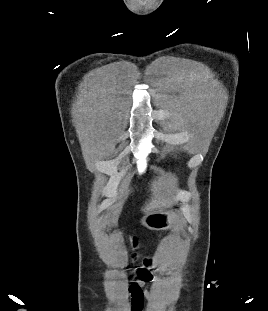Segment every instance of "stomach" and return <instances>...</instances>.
I'll list each match as a JSON object with an SVG mask.
<instances>
[{
    "mask_svg": "<svg viewBox=\"0 0 268 311\" xmlns=\"http://www.w3.org/2000/svg\"><path fill=\"white\" fill-rule=\"evenodd\" d=\"M182 218L180 210L174 207L168 210H155L148 212L140 220L142 225L150 230L172 229Z\"/></svg>",
    "mask_w": 268,
    "mask_h": 311,
    "instance_id": "stomach-1",
    "label": "stomach"
}]
</instances>
